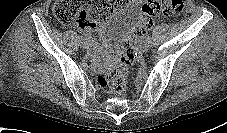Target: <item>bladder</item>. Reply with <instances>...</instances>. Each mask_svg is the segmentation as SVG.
Wrapping results in <instances>:
<instances>
[{
    "instance_id": "obj_1",
    "label": "bladder",
    "mask_w": 227,
    "mask_h": 133,
    "mask_svg": "<svg viewBox=\"0 0 227 133\" xmlns=\"http://www.w3.org/2000/svg\"><path fill=\"white\" fill-rule=\"evenodd\" d=\"M138 10L130 7L120 14L116 20L106 29L104 37L108 42H112L124 37L136 23Z\"/></svg>"
}]
</instances>
